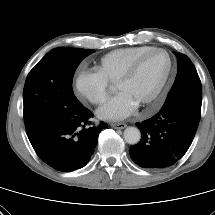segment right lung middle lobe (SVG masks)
<instances>
[{
  "mask_svg": "<svg viewBox=\"0 0 215 215\" xmlns=\"http://www.w3.org/2000/svg\"><path fill=\"white\" fill-rule=\"evenodd\" d=\"M94 50L55 48L27 76L24 92V121L27 135L83 105L75 97L72 80L80 62Z\"/></svg>",
  "mask_w": 215,
  "mask_h": 215,
  "instance_id": "1",
  "label": "right lung middle lobe"
}]
</instances>
